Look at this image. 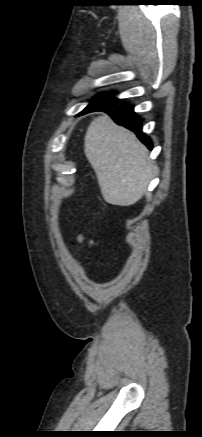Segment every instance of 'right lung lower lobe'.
<instances>
[{"label": "right lung lower lobe", "instance_id": "98d812e1", "mask_svg": "<svg viewBox=\"0 0 202 437\" xmlns=\"http://www.w3.org/2000/svg\"><path fill=\"white\" fill-rule=\"evenodd\" d=\"M95 111L108 113L117 124L135 132L141 142L152 150V142L147 135L142 133L141 122L133 110V105H105Z\"/></svg>", "mask_w": 202, "mask_h": 437}]
</instances>
